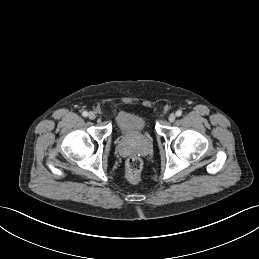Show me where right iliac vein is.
Segmentation results:
<instances>
[{
	"instance_id": "1",
	"label": "right iliac vein",
	"mask_w": 259,
	"mask_h": 259,
	"mask_svg": "<svg viewBox=\"0 0 259 259\" xmlns=\"http://www.w3.org/2000/svg\"><path fill=\"white\" fill-rule=\"evenodd\" d=\"M88 116H89V119L91 120H94L96 118V115L94 112H90Z\"/></svg>"
}]
</instances>
